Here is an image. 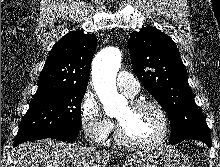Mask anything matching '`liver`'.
Listing matches in <instances>:
<instances>
[{
    "mask_svg": "<svg viewBox=\"0 0 220 167\" xmlns=\"http://www.w3.org/2000/svg\"><path fill=\"white\" fill-rule=\"evenodd\" d=\"M111 156L106 150L43 139L20 144L12 153V167H105Z\"/></svg>",
    "mask_w": 220,
    "mask_h": 167,
    "instance_id": "obj_1",
    "label": "liver"
}]
</instances>
